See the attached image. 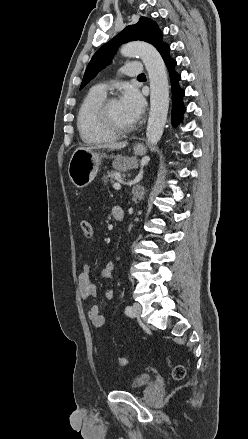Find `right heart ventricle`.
I'll return each mask as SVG.
<instances>
[{
	"label": "right heart ventricle",
	"instance_id": "obj_1",
	"mask_svg": "<svg viewBox=\"0 0 248 439\" xmlns=\"http://www.w3.org/2000/svg\"><path fill=\"white\" fill-rule=\"evenodd\" d=\"M104 98L105 94L94 87L88 91L78 109L77 129L86 144L99 145L117 139V136L104 130L96 119V110Z\"/></svg>",
	"mask_w": 248,
	"mask_h": 439
}]
</instances>
